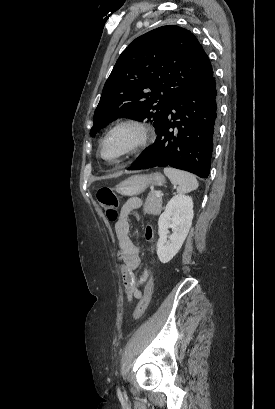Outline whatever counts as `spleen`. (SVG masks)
I'll return each mask as SVG.
<instances>
[{
    "mask_svg": "<svg viewBox=\"0 0 275 409\" xmlns=\"http://www.w3.org/2000/svg\"><path fill=\"white\" fill-rule=\"evenodd\" d=\"M164 174L170 178L172 184H177V192H190L195 190L198 186V180L194 174L185 172V170H178V168H164Z\"/></svg>",
    "mask_w": 275,
    "mask_h": 409,
    "instance_id": "obj_1",
    "label": "spleen"
}]
</instances>
